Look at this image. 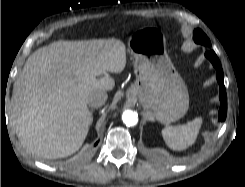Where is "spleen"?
<instances>
[{
	"instance_id": "1",
	"label": "spleen",
	"mask_w": 245,
	"mask_h": 187,
	"mask_svg": "<svg viewBox=\"0 0 245 187\" xmlns=\"http://www.w3.org/2000/svg\"><path fill=\"white\" fill-rule=\"evenodd\" d=\"M202 122V117H197L183 125L166 126L162 130L163 139L172 150L187 149L195 143Z\"/></svg>"
}]
</instances>
